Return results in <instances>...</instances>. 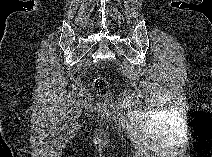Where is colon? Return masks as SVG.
Listing matches in <instances>:
<instances>
[{"label":"colon","mask_w":212,"mask_h":157,"mask_svg":"<svg viewBox=\"0 0 212 157\" xmlns=\"http://www.w3.org/2000/svg\"><path fill=\"white\" fill-rule=\"evenodd\" d=\"M93 88L97 93L105 94L108 91V83L102 78H97L93 82Z\"/></svg>","instance_id":"1"}]
</instances>
